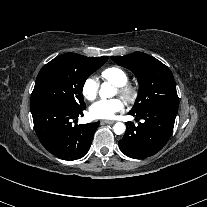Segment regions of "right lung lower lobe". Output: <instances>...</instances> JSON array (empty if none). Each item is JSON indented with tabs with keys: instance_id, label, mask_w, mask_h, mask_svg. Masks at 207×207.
<instances>
[{
	"instance_id": "right-lung-lower-lobe-1",
	"label": "right lung lower lobe",
	"mask_w": 207,
	"mask_h": 207,
	"mask_svg": "<svg viewBox=\"0 0 207 207\" xmlns=\"http://www.w3.org/2000/svg\"><path fill=\"white\" fill-rule=\"evenodd\" d=\"M85 108L74 110L51 101L31 105L35 132L50 153L76 160L88 152L99 122L72 125V120L82 116Z\"/></svg>"
}]
</instances>
